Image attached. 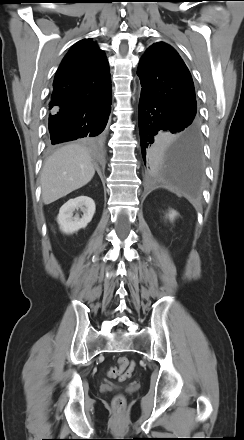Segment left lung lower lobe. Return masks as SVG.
<instances>
[{"instance_id": "obj_1", "label": "left lung lower lobe", "mask_w": 244, "mask_h": 440, "mask_svg": "<svg viewBox=\"0 0 244 440\" xmlns=\"http://www.w3.org/2000/svg\"><path fill=\"white\" fill-rule=\"evenodd\" d=\"M139 133L142 156L152 174H171L189 194L201 184V134L190 121L180 119L167 105L141 91ZM165 133L167 138H164Z\"/></svg>"}]
</instances>
